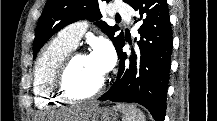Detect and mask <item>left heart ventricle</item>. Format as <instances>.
Wrapping results in <instances>:
<instances>
[{
    "instance_id": "left-heart-ventricle-1",
    "label": "left heart ventricle",
    "mask_w": 217,
    "mask_h": 121,
    "mask_svg": "<svg viewBox=\"0 0 217 121\" xmlns=\"http://www.w3.org/2000/svg\"><path fill=\"white\" fill-rule=\"evenodd\" d=\"M103 76L104 74L90 57H79L69 70L66 81L69 91L81 96L94 91Z\"/></svg>"
}]
</instances>
